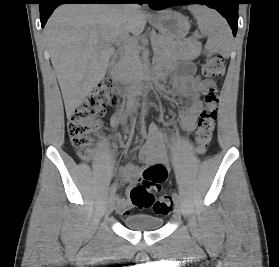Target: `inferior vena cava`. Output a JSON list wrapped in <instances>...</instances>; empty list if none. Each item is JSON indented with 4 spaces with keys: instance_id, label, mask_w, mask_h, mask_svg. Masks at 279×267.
Here are the masks:
<instances>
[{
    "instance_id": "602c4592",
    "label": "inferior vena cava",
    "mask_w": 279,
    "mask_h": 267,
    "mask_svg": "<svg viewBox=\"0 0 279 267\" xmlns=\"http://www.w3.org/2000/svg\"><path fill=\"white\" fill-rule=\"evenodd\" d=\"M121 8L124 10V12H131L136 9H138V5L136 3H124L121 5Z\"/></svg>"
}]
</instances>
